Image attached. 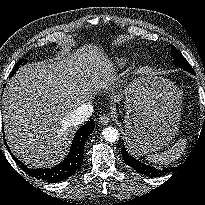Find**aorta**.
<instances>
[{"instance_id":"aorta-1","label":"aorta","mask_w":205,"mask_h":205,"mask_svg":"<svg viewBox=\"0 0 205 205\" xmlns=\"http://www.w3.org/2000/svg\"><path fill=\"white\" fill-rule=\"evenodd\" d=\"M102 135L104 137V139L110 143H114L116 141H118L119 139V132L116 128H113L111 126L106 127L103 132Z\"/></svg>"}]
</instances>
